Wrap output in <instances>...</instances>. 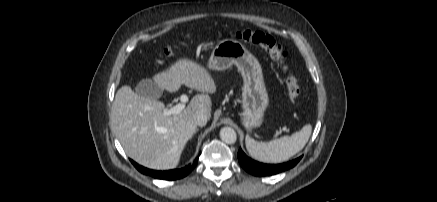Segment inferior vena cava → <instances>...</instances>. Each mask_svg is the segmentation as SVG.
Wrapping results in <instances>:
<instances>
[{
  "label": "inferior vena cava",
  "instance_id": "602c4592",
  "mask_svg": "<svg viewBox=\"0 0 437 202\" xmlns=\"http://www.w3.org/2000/svg\"><path fill=\"white\" fill-rule=\"evenodd\" d=\"M207 121H208V116L205 113H202V112L197 114V116L195 118V123L198 126H205Z\"/></svg>",
  "mask_w": 437,
  "mask_h": 202
}]
</instances>
